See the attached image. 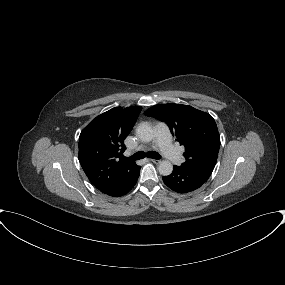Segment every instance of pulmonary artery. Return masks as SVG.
Returning a JSON list of instances; mask_svg holds the SVG:
<instances>
[{"mask_svg": "<svg viewBox=\"0 0 285 285\" xmlns=\"http://www.w3.org/2000/svg\"><path fill=\"white\" fill-rule=\"evenodd\" d=\"M155 143L170 162L175 165L181 163L182 158L171 143V134L166 124L155 125Z\"/></svg>", "mask_w": 285, "mask_h": 285, "instance_id": "obj_1", "label": "pulmonary artery"}]
</instances>
